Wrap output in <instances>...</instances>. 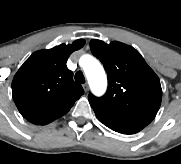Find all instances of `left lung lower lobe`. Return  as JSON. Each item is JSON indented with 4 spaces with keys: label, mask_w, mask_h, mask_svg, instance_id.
Listing matches in <instances>:
<instances>
[{
    "label": "left lung lower lobe",
    "mask_w": 181,
    "mask_h": 164,
    "mask_svg": "<svg viewBox=\"0 0 181 164\" xmlns=\"http://www.w3.org/2000/svg\"><path fill=\"white\" fill-rule=\"evenodd\" d=\"M93 110L97 118L104 125L122 134H134L141 131L145 127V125L134 122L130 119L124 118L106 110Z\"/></svg>",
    "instance_id": "1"
}]
</instances>
